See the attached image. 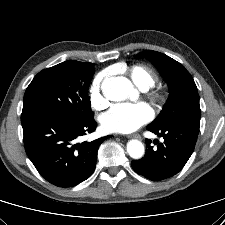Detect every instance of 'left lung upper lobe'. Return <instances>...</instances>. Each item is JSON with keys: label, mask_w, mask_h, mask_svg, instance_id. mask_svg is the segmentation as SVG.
<instances>
[{"label": "left lung upper lobe", "mask_w": 225, "mask_h": 225, "mask_svg": "<svg viewBox=\"0 0 225 225\" xmlns=\"http://www.w3.org/2000/svg\"><path fill=\"white\" fill-rule=\"evenodd\" d=\"M137 58H147L168 83L170 95L158 117L148 126H184L199 129L200 105L196 84L179 62L160 52L146 50Z\"/></svg>", "instance_id": "left-lung-upper-lobe-1"}]
</instances>
